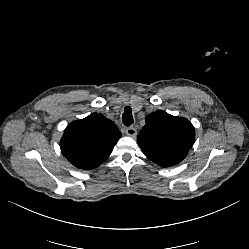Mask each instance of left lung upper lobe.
<instances>
[{
  "label": "left lung upper lobe",
  "mask_w": 249,
  "mask_h": 249,
  "mask_svg": "<svg viewBox=\"0 0 249 249\" xmlns=\"http://www.w3.org/2000/svg\"><path fill=\"white\" fill-rule=\"evenodd\" d=\"M145 121L137 137L145 156L162 167L181 162L194 143L195 129L191 122L164 111L150 113Z\"/></svg>",
  "instance_id": "obj_1"
}]
</instances>
